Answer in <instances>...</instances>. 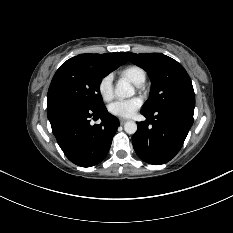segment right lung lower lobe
<instances>
[{"label":"right lung lower lobe","mask_w":233,"mask_h":233,"mask_svg":"<svg viewBox=\"0 0 233 233\" xmlns=\"http://www.w3.org/2000/svg\"><path fill=\"white\" fill-rule=\"evenodd\" d=\"M47 116L60 148L81 167L94 166L107 156L120 125L105 107L94 110L72 102L48 103ZM92 117H100L101 124L91 125Z\"/></svg>","instance_id":"right-lung-lower-lobe-1"}]
</instances>
